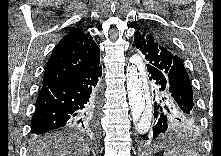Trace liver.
<instances>
[{
    "label": "liver",
    "instance_id": "obj_1",
    "mask_svg": "<svg viewBox=\"0 0 221 156\" xmlns=\"http://www.w3.org/2000/svg\"><path fill=\"white\" fill-rule=\"evenodd\" d=\"M90 145L72 133H53L33 142L29 156H89Z\"/></svg>",
    "mask_w": 221,
    "mask_h": 156
}]
</instances>
